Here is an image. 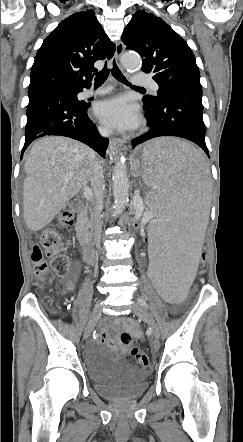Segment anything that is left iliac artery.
<instances>
[{
	"mask_svg": "<svg viewBox=\"0 0 243 442\" xmlns=\"http://www.w3.org/2000/svg\"><path fill=\"white\" fill-rule=\"evenodd\" d=\"M138 301L142 306H144L146 308L148 307V304L144 298H138Z\"/></svg>",
	"mask_w": 243,
	"mask_h": 442,
	"instance_id": "left-iliac-artery-1",
	"label": "left iliac artery"
}]
</instances>
